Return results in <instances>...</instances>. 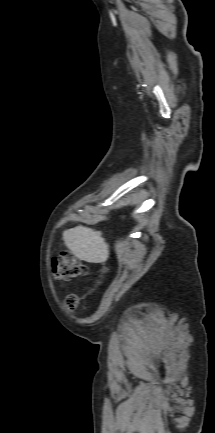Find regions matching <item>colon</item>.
Returning a JSON list of instances; mask_svg holds the SVG:
<instances>
[{"instance_id":"1","label":"colon","mask_w":215,"mask_h":433,"mask_svg":"<svg viewBox=\"0 0 215 433\" xmlns=\"http://www.w3.org/2000/svg\"><path fill=\"white\" fill-rule=\"evenodd\" d=\"M53 275L57 279L69 280L86 274L87 269L81 261L70 252H61L53 259ZM78 297L71 295L66 299L69 308L77 306Z\"/></svg>"}]
</instances>
